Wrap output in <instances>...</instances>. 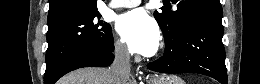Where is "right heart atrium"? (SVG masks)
<instances>
[{
  "mask_svg": "<svg viewBox=\"0 0 260 84\" xmlns=\"http://www.w3.org/2000/svg\"><path fill=\"white\" fill-rule=\"evenodd\" d=\"M113 51L117 58L127 59L129 57V50L123 41L119 38H116L113 42Z\"/></svg>",
  "mask_w": 260,
  "mask_h": 84,
  "instance_id": "1",
  "label": "right heart atrium"
}]
</instances>
